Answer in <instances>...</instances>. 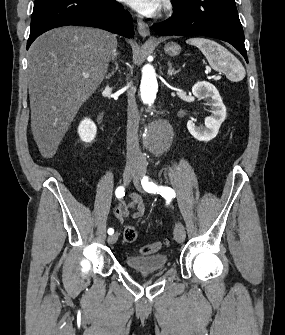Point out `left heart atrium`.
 Listing matches in <instances>:
<instances>
[{
	"mask_svg": "<svg viewBox=\"0 0 285 335\" xmlns=\"http://www.w3.org/2000/svg\"><path fill=\"white\" fill-rule=\"evenodd\" d=\"M131 8L147 15H153L157 11V1H122Z\"/></svg>",
	"mask_w": 285,
	"mask_h": 335,
	"instance_id": "1",
	"label": "left heart atrium"
}]
</instances>
